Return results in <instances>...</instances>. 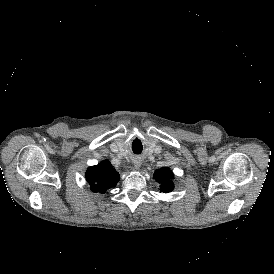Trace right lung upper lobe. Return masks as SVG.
Wrapping results in <instances>:
<instances>
[{
  "mask_svg": "<svg viewBox=\"0 0 274 274\" xmlns=\"http://www.w3.org/2000/svg\"><path fill=\"white\" fill-rule=\"evenodd\" d=\"M119 176V173L108 160L88 168L86 172V180L90 185V190L102 194L108 189L115 187L119 181Z\"/></svg>",
  "mask_w": 274,
  "mask_h": 274,
  "instance_id": "right-lung-upper-lobe-1",
  "label": "right lung upper lobe"
}]
</instances>
